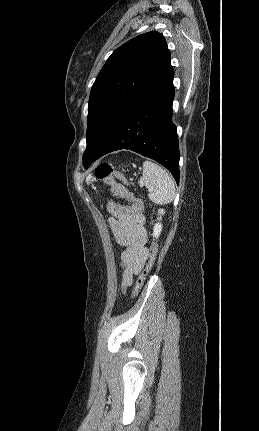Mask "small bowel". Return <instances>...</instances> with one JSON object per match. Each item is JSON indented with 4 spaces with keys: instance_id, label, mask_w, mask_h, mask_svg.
<instances>
[{
    "instance_id": "obj_1",
    "label": "small bowel",
    "mask_w": 259,
    "mask_h": 431,
    "mask_svg": "<svg viewBox=\"0 0 259 431\" xmlns=\"http://www.w3.org/2000/svg\"><path fill=\"white\" fill-rule=\"evenodd\" d=\"M144 222L143 213L133 219L118 220L116 217L109 219L115 240L123 248L120 254L123 290L132 285L134 276L140 272L149 256L146 246L148 235Z\"/></svg>"
}]
</instances>
